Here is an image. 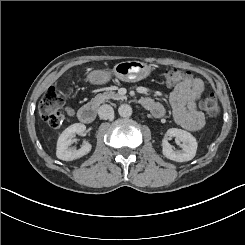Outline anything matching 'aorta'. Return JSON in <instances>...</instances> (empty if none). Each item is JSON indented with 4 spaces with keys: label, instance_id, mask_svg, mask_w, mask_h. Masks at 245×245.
Returning a JSON list of instances; mask_svg holds the SVG:
<instances>
[{
    "label": "aorta",
    "instance_id": "762f6f07",
    "mask_svg": "<svg viewBox=\"0 0 245 245\" xmlns=\"http://www.w3.org/2000/svg\"><path fill=\"white\" fill-rule=\"evenodd\" d=\"M132 108L128 104H122L118 108V113L122 117H130L132 115Z\"/></svg>",
    "mask_w": 245,
    "mask_h": 245
}]
</instances>
